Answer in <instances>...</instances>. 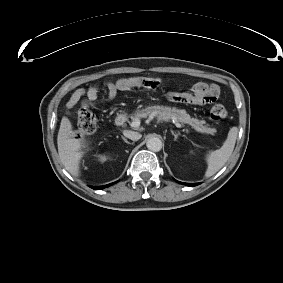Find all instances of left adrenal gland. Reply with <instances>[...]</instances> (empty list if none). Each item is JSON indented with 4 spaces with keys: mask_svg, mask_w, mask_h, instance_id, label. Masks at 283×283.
I'll use <instances>...</instances> for the list:
<instances>
[{
    "mask_svg": "<svg viewBox=\"0 0 283 283\" xmlns=\"http://www.w3.org/2000/svg\"><path fill=\"white\" fill-rule=\"evenodd\" d=\"M171 133L174 136V140L177 141L179 134L174 133V131H172V130H171Z\"/></svg>",
    "mask_w": 283,
    "mask_h": 283,
    "instance_id": "1",
    "label": "left adrenal gland"
}]
</instances>
